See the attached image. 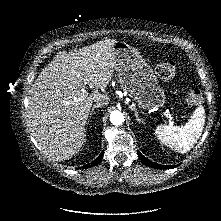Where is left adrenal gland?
Listing matches in <instances>:
<instances>
[{
	"label": "left adrenal gland",
	"mask_w": 221,
	"mask_h": 221,
	"mask_svg": "<svg viewBox=\"0 0 221 221\" xmlns=\"http://www.w3.org/2000/svg\"><path fill=\"white\" fill-rule=\"evenodd\" d=\"M130 109H131L132 111H134L135 117H136V121L139 122V123H143V120L139 117L137 110L134 109V108L131 107V106H130Z\"/></svg>",
	"instance_id": "obj_1"
}]
</instances>
